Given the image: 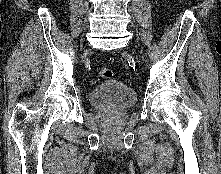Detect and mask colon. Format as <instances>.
<instances>
[{
  "label": "colon",
  "mask_w": 221,
  "mask_h": 174,
  "mask_svg": "<svg viewBox=\"0 0 221 174\" xmlns=\"http://www.w3.org/2000/svg\"><path fill=\"white\" fill-rule=\"evenodd\" d=\"M100 76L104 79H110L113 77V72L109 68H102L99 72Z\"/></svg>",
  "instance_id": "5ec220e1"
}]
</instances>
